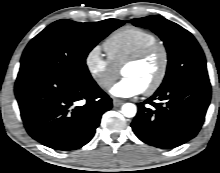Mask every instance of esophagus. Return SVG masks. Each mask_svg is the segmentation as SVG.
<instances>
[{"label": "esophagus", "instance_id": "34e87169", "mask_svg": "<svg viewBox=\"0 0 220 173\" xmlns=\"http://www.w3.org/2000/svg\"><path fill=\"white\" fill-rule=\"evenodd\" d=\"M123 103H124V102H123L122 100H120V99H117V98H114V99H113V105H114L115 107H119V106H121Z\"/></svg>", "mask_w": 220, "mask_h": 173}]
</instances>
